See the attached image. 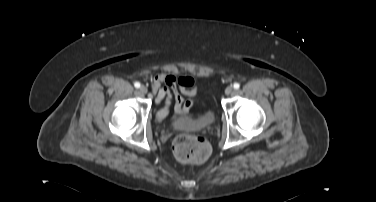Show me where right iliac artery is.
<instances>
[{"instance_id":"right-iliac-artery-1","label":"right iliac artery","mask_w":376,"mask_h":202,"mask_svg":"<svg viewBox=\"0 0 376 202\" xmlns=\"http://www.w3.org/2000/svg\"><path fill=\"white\" fill-rule=\"evenodd\" d=\"M134 86H135L136 88H140V83H139V82H135Z\"/></svg>"}]
</instances>
